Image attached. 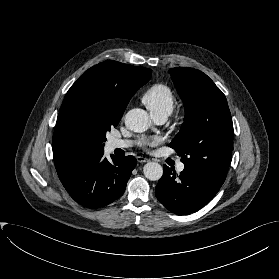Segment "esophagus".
Wrapping results in <instances>:
<instances>
[{
	"mask_svg": "<svg viewBox=\"0 0 279 279\" xmlns=\"http://www.w3.org/2000/svg\"><path fill=\"white\" fill-rule=\"evenodd\" d=\"M137 161H138L139 163H145V162H148L149 160H148L147 158H145V157L138 156V157H137Z\"/></svg>",
	"mask_w": 279,
	"mask_h": 279,
	"instance_id": "esophagus-1",
	"label": "esophagus"
}]
</instances>
